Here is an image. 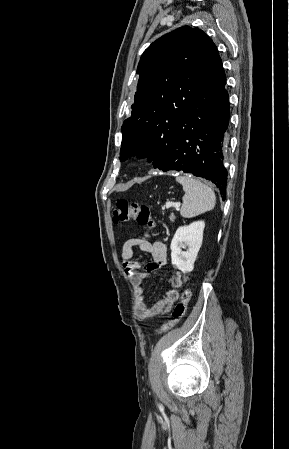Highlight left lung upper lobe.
<instances>
[{
    "label": "left lung upper lobe",
    "mask_w": 289,
    "mask_h": 449,
    "mask_svg": "<svg viewBox=\"0 0 289 449\" xmlns=\"http://www.w3.org/2000/svg\"><path fill=\"white\" fill-rule=\"evenodd\" d=\"M217 54L208 35L189 26L162 36L144 51L132 113L122 126L121 161L140 155L155 165L166 158L175 126L192 106Z\"/></svg>",
    "instance_id": "1"
}]
</instances>
